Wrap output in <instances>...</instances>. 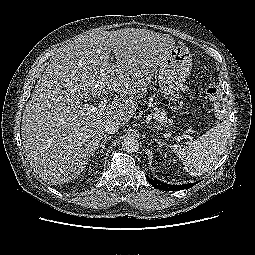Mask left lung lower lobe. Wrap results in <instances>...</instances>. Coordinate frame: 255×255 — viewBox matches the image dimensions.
<instances>
[{"instance_id": "left-lung-lower-lobe-1", "label": "left lung lower lobe", "mask_w": 255, "mask_h": 255, "mask_svg": "<svg viewBox=\"0 0 255 255\" xmlns=\"http://www.w3.org/2000/svg\"><path fill=\"white\" fill-rule=\"evenodd\" d=\"M146 178L152 186L164 191H177V190L188 189L199 182L198 181L195 183H188L183 185H170V184L163 183L157 179H150L147 175H146Z\"/></svg>"}]
</instances>
